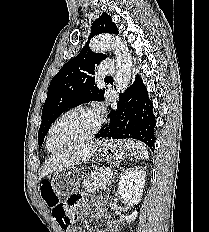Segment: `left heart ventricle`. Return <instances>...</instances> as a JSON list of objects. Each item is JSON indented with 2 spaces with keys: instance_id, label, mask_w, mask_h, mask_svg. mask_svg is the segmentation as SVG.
<instances>
[{
  "instance_id": "b2bd125f",
  "label": "left heart ventricle",
  "mask_w": 209,
  "mask_h": 232,
  "mask_svg": "<svg viewBox=\"0 0 209 232\" xmlns=\"http://www.w3.org/2000/svg\"><path fill=\"white\" fill-rule=\"evenodd\" d=\"M94 122V117L84 112H74L66 116L54 129L50 147L52 149L60 147L66 139L85 132Z\"/></svg>"
}]
</instances>
